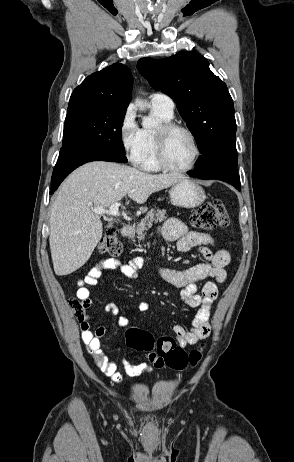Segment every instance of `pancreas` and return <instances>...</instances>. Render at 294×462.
<instances>
[{
	"instance_id": "cf45deb5",
	"label": "pancreas",
	"mask_w": 294,
	"mask_h": 462,
	"mask_svg": "<svg viewBox=\"0 0 294 462\" xmlns=\"http://www.w3.org/2000/svg\"><path fill=\"white\" fill-rule=\"evenodd\" d=\"M166 219V211L165 210H154L151 209L147 212L145 217L141 219L140 223L136 226V229L131 234V238H134L135 235L138 240L144 239V236L149 228L152 227V223L155 222H162Z\"/></svg>"
}]
</instances>
